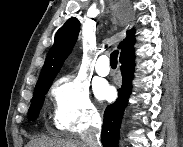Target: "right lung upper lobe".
<instances>
[{
	"instance_id": "1",
	"label": "right lung upper lobe",
	"mask_w": 183,
	"mask_h": 147,
	"mask_svg": "<svg viewBox=\"0 0 183 147\" xmlns=\"http://www.w3.org/2000/svg\"><path fill=\"white\" fill-rule=\"evenodd\" d=\"M79 30V21L77 18L72 17L57 31L54 44L48 52L35 90L51 86L64 60L70 54L78 37ZM133 33V31L128 30L127 37L120 43L119 49H121V56L134 51Z\"/></svg>"
}]
</instances>
